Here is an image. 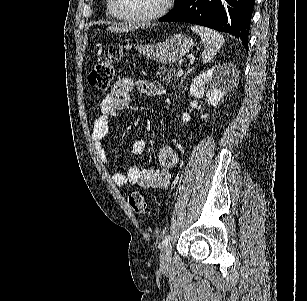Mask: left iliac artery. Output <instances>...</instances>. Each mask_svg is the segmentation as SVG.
Returning a JSON list of instances; mask_svg holds the SVG:
<instances>
[{
    "label": "left iliac artery",
    "instance_id": "1",
    "mask_svg": "<svg viewBox=\"0 0 307 301\" xmlns=\"http://www.w3.org/2000/svg\"><path fill=\"white\" fill-rule=\"evenodd\" d=\"M169 241H170V235H166L164 239L162 240V245L164 246L168 244Z\"/></svg>",
    "mask_w": 307,
    "mask_h": 301
}]
</instances>
